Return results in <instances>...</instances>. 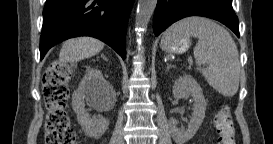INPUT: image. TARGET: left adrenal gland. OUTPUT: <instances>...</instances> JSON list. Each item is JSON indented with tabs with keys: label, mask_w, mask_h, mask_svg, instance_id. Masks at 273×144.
I'll return each instance as SVG.
<instances>
[{
	"label": "left adrenal gland",
	"mask_w": 273,
	"mask_h": 144,
	"mask_svg": "<svg viewBox=\"0 0 273 144\" xmlns=\"http://www.w3.org/2000/svg\"><path fill=\"white\" fill-rule=\"evenodd\" d=\"M171 67H172V65L167 64V69H170Z\"/></svg>",
	"instance_id": "left-adrenal-gland-1"
}]
</instances>
